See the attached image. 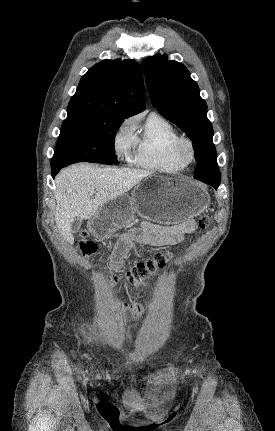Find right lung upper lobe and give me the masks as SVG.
<instances>
[{
    "label": "right lung upper lobe",
    "mask_w": 275,
    "mask_h": 431,
    "mask_svg": "<svg viewBox=\"0 0 275 431\" xmlns=\"http://www.w3.org/2000/svg\"><path fill=\"white\" fill-rule=\"evenodd\" d=\"M143 76L134 60H103L83 75L67 113L127 118L145 110Z\"/></svg>",
    "instance_id": "obj_1"
}]
</instances>
